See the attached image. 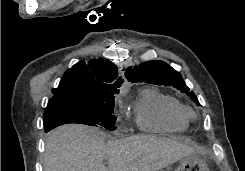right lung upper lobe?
Here are the masks:
<instances>
[{
  "mask_svg": "<svg viewBox=\"0 0 245 171\" xmlns=\"http://www.w3.org/2000/svg\"><path fill=\"white\" fill-rule=\"evenodd\" d=\"M124 81L118 77L115 64L107 59L80 61L67 70L49 102L60 100H91L112 96ZM48 102V103H49Z\"/></svg>",
  "mask_w": 245,
  "mask_h": 171,
  "instance_id": "right-lung-upper-lobe-1",
  "label": "right lung upper lobe"
}]
</instances>
